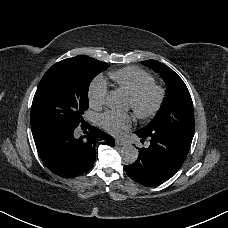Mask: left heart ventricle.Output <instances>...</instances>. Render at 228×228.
<instances>
[{
    "instance_id": "b2bd125f",
    "label": "left heart ventricle",
    "mask_w": 228,
    "mask_h": 228,
    "mask_svg": "<svg viewBox=\"0 0 228 228\" xmlns=\"http://www.w3.org/2000/svg\"><path fill=\"white\" fill-rule=\"evenodd\" d=\"M151 102H152V98L148 99V101L146 102V105H145L146 109L150 107ZM130 109H131V103L128 100L127 107L125 109H123V110H119V112H127Z\"/></svg>"
}]
</instances>
